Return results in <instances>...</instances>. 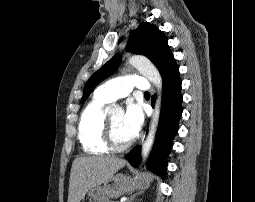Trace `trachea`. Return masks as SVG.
Returning a JSON list of instances; mask_svg holds the SVG:
<instances>
[{
  "mask_svg": "<svg viewBox=\"0 0 255 202\" xmlns=\"http://www.w3.org/2000/svg\"><path fill=\"white\" fill-rule=\"evenodd\" d=\"M144 95L149 96V95H150V93H149V92H145V93H144Z\"/></svg>",
  "mask_w": 255,
  "mask_h": 202,
  "instance_id": "obj_1",
  "label": "trachea"
}]
</instances>
